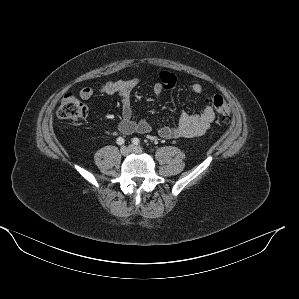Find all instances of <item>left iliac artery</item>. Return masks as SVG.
Segmentation results:
<instances>
[{
	"mask_svg": "<svg viewBox=\"0 0 299 299\" xmlns=\"http://www.w3.org/2000/svg\"><path fill=\"white\" fill-rule=\"evenodd\" d=\"M132 143L134 145H138L140 143V140L137 137H135V138H133Z\"/></svg>",
	"mask_w": 299,
	"mask_h": 299,
	"instance_id": "1",
	"label": "left iliac artery"
}]
</instances>
